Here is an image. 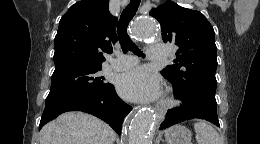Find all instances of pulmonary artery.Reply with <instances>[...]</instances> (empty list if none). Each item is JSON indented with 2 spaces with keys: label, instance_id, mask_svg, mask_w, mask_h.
<instances>
[{
  "label": "pulmonary artery",
  "instance_id": "1",
  "mask_svg": "<svg viewBox=\"0 0 260 144\" xmlns=\"http://www.w3.org/2000/svg\"><path fill=\"white\" fill-rule=\"evenodd\" d=\"M149 61H164L168 55L167 48L163 46H150L148 49ZM138 63L137 57L133 55L118 54L117 58L111 61V68L116 71L131 69Z\"/></svg>",
  "mask_w": 260,
  "mask_h": 144
}]
</instances>
